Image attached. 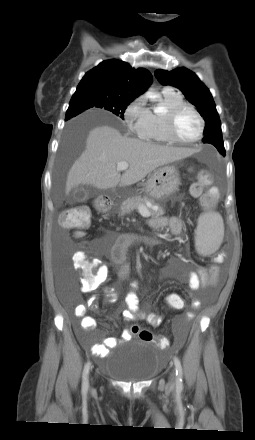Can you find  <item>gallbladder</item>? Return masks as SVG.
Wrapping results in <instances>:
<instances>
[{"instance_id": "gallbladder-1", "label": "gallbladder", "mask_w": 255, "mask_h": 440, "mask_svg": "<svg viewBox=\"0 0 255 440\" xmlns=\"http://www.w3.org/2000/svg\"><path fill=\"white\" fill-rule=\"evenodd\" d=\"M89 197V192L82 187L75 188L71 193L72 202H83Z\"/></svg>"}]
</instances>
